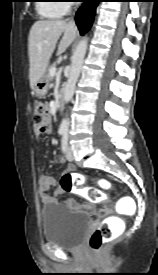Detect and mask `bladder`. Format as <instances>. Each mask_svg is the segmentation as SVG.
I'll use <instances>...</instances> for the list:
<instances>
[{
    "mask_svg": "<svg viewBox=\"0 0 158 275\" xmlns=\"http://www.w3.org/2000/svg\"><path fill=\"white\" fill-rule=\"evenodd\" d=\"M90 223L87 214L68 210L61 204H46L42 208L43 238L62 249H76Z\"/></svg>",
    "mask_w": 158,
    "mask_h": 275,
    "instance_id": "1",
    "label": "bladder"
}]
</instances>
